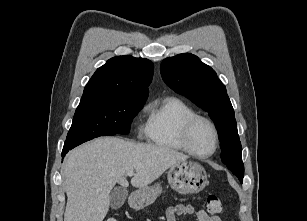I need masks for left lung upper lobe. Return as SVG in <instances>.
Masks as SVG:
<instances>
[{
    "label": "left lung upper lobe",
    "mask_w": 307,
    "mask_h": 221,
    "mask_svg": "<svg viewBox=\"0 0 307 221\" xmlns=\"http://www.w3.org/2000/svg\"><path fill=\"white\" fill-rule=\"evenodd\" d=\"M160 69L170 88L209 112L218 129L222 162L242 182L244 165L234 110L216 72L190 53L164 59Z\"/></svg>",
    "instance_id": "obj_1"
}]
</instances>
